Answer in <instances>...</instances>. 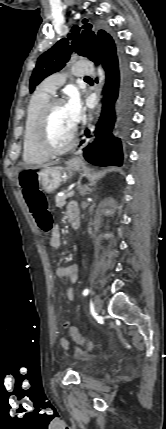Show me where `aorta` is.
I'll return each instance as SVG.
<instances>
[{"mask_svg": "<svg viewBox=\"0 0 166 429\" xmlns=\"http://www.w3.org/2000/svg\"><path fill=\"white\" fill-rule=\"evenodd\" d=\"M98 73H99V76H100V81H103V79H104V74H103V71L99 68V70H98Z\"/></svg>", "mask_w": 166, "mask_h": 429, "instance_id": "obj_1", "label": "aorta"}]
</instances>
